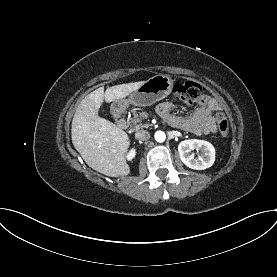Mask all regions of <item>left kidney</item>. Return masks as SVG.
<instances>
[{
	"label": "left kidney",
	"mask_w": 277,
	"mask_h": 277,
	"mask_svg": "<svg viewBox=\"0 0 277 277\" xmlns=\"http://www.w3.org/2000/svg\"><path fill=\"white\" fill-rule=\"evenodd\" d=\"M194 149L201 151L197 158L191 153ZM178 152L181 161L191 169L204 170L211 167L215 161V148L204 140H184L179 143Z\"/></svg>",
	"instance_id": "obj_1"
}]
</instances>
